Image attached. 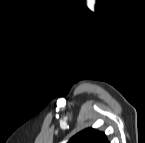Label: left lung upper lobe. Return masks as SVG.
<instances>
[{
	"label": "left lung upper lobe",
	"instance_id": "1",
	"mask_svg": "<svg viewBox=\"0 0 145 143\" xmlns=\"http://www.w3.org/2000/svg\"><path fill=\"white\" fill-rule=\"evenodd\" d=\"M68 143H109L103 132L88 128L70 139Z\"/></svg>",
	"mask_w": 145,
	"mask_h": 143
}]
</instances>
